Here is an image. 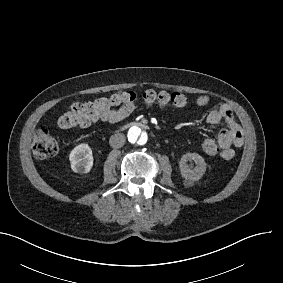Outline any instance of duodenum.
Instances as JSON below:
<instances>
[{
	"label": "duodenum",
	"instance_id": "duodenum-1",
	"mask_svg": "<svg viewBox=\"0 0 283 283\" xmlns=\"http://www.w3.org/2000/svg\"><path fill=\"white\" fill-rule=\"evenodd\" d=\"M133 125H138V126H141V127H144V128H147L146 125L142 124V123H129L127 124L126 126H133Z\"/></svg>",
	"mask_w": 283,
	"mask_h": 283
}]
</instances>
